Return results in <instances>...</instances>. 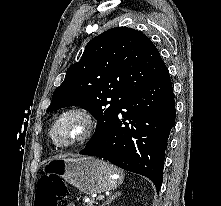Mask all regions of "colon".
Returning <instances> with one entry per match:
<instances>
[{
    "instance_id": "1",
    "label": "colon",
    "mask_w": 221,
    "mask_h": 206,
    "mask_svg": "<svg viewBox=\"0 0 221 206\" xmlns=\"http://www.w3.org/2000/svg\"><path fill=\"white\" fill-rule=\"evenodd\" d=\"M67 199V188L56 183L53 177H44L38 181L36 206H68Z\"/></svg>"
}]
</instances>
